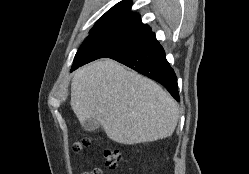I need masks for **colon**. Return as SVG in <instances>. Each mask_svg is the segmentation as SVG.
<instances>
[{
    "instance_id": "1",
    "label": "colon",
    "mask_w": 249,
    "mask_h": 174,
    "mask_svg": "<svg viewBox=\"0 0 249 174\" xmlns=\"http://www.w3.org/2000/svg\"><path fill=\"white\" fill-rule=\"evenodd\" d=\"M91 143V140L87 137L76 140L73 144V150L80 152L87 148ZM122 160V153L117 148H108L104 151L105 165L110 169H115Z\"/></svg>"
}]
</instances>
